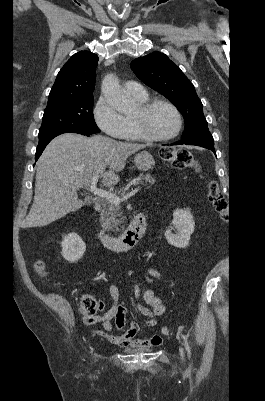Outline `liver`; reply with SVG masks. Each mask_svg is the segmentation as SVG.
I'll use <instances>...</instances> for the list:
<instances>
[{"mask_svg":"<svg viewBox=\"0 0 265 401\" xmlns=\"http://www.w3.org/2000/svg\"><path fill=\"white\" fill-rule=\"evenodd\" d=\"M147 144L120 142L109 136H82L65 132L53 138L37 160L34 201L23 227H45L83 207L76 190L103 176L105 186H114L130 154ZM109 170L105 172V168Z\"/></svg>","mask_w":265,"mask_h":401,"instance_id":"6515ba94","label":"liver"}]
</instances>
